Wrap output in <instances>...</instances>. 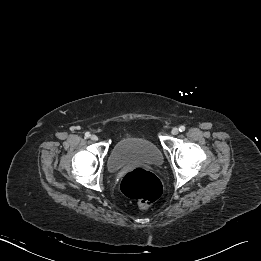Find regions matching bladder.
Wrapping results in <instances>:
<instances>
[{
  "label": "bladder",
  "mask_w": 261,
  "mask_h": 261,
  "mask_svg": "<svg viewBox=\"0 0 261 261\" xmlns=\"http://www.w3.org/2000/svg\"><path fill=\"white\" fill-rule=\"evenodd\" d=\"M162 162L163 156L156 144L131 136L119 139L110 150L107 159L108 168L112 172L131 164L160 166Z\"/></svg>",
  "instance_id": "bladder-1"
}]
</instances>
